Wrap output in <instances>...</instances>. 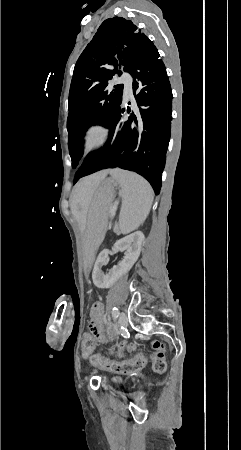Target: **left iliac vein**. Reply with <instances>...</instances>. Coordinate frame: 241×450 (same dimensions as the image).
<instances>
[{
  "label": "left iliac vein",
  "instance_id": "4c4485c4",
  "mask_svg": "<svg viewBox=\"0 0 241 450\" xmlns=\"http://www.w3.org/2000/svg\"><path fill=\"white\" fill-rule=\"evenodd\" d=\"M127 324L126 315L124 312L120 313L118 318V327H123Z\"/></svg>",
  "mask_w": 241,
  "mask_h": 450
}]
</instances>
